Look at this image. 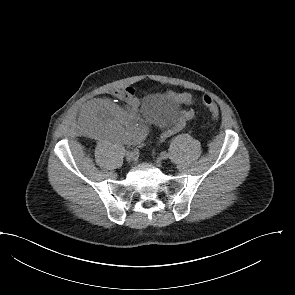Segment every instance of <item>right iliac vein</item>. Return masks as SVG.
<instances>
[{
	"label": "right iliac vein",
	"instance_id": "63e3f726",
	"mask_svg": "<svg viewBox=\"0 0 295 295\" xmlns=\"http://www.w3.org/2000/svg\"><path fill=\"white\" fill-rule=\"evenodd\" d=\"M126 160L128 162H133L135 160V154L133 152L126 153Z\"/></svg>",
	"mask_w": 295,
	"mask_h": 295
}]
</instances>
